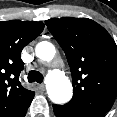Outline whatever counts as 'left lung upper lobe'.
Masks as SVG:
<instances>
[{"mask_svg": "<svg viewBox=\"0 0 117 117\" xmlns=\"http://www.w3.org/2000/svg\"><path fill=\"white\" fill-rule=\"evenodd\" d=\"M45 23L71 70L74 93L65 105L106 114L117 95V45L110 34L88 18H53Z\"/></svg>", "mask_w": 117, "mask_h": 117, "instance_id": "left-lung-upper-lobe-1", "label": "left lung upper lobe"}]
</instances>
